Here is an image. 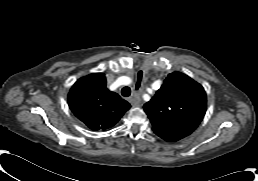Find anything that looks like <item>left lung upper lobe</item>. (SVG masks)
Wrapping results in <instances>:
<instances>
[{"instance_id": "1", "label": "left lung upper lobe", "mask_w": 258, "mask_h": 181, "mask_svg": "<svg viewBox=\"0 0 258 181\" xmlns=\"http://www.w3.org/2000/svg\"><path fill=\"white\" fill-rule=\"evenodd\" d=\"M207 106L203 87L187 75L173 72L165 79L144 110L160 137L182 139L203 119Z\"/></svg>"}]
</instances>
